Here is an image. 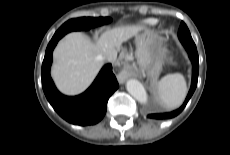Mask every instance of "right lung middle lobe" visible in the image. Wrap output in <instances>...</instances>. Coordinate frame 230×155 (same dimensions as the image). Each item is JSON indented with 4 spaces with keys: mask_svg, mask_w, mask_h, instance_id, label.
I'll list each match as a JSON object with an SVG mask.
<instances>
[{
    "mask_svg": "<svg viewBox=\"0 0 230 155\" xmlns=\"http://www.w3.org/2000/svg\"><path fill=\"white\" fill-rule=\"evenodd\" d=\"M111 22L109 17H81L71 19L64 23L54 34L53 38H62L66 33L71 31L88 30L93 27L108 24Z\"/></svg>",
    "mask_w": 230,
    "mask_h": 155,
    "instance_id": "right-lung-middle-lobe-1",
    "label": "right lung middle lobe"
}]
</instances>
